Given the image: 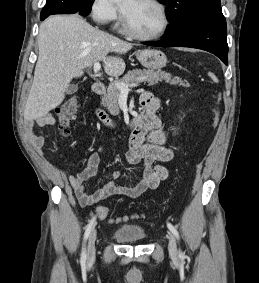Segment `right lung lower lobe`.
<instances>
[{"mask_svg":"<svg viewBox=\"0 0 259 283\" xmlns=\"http://www.w3.org/2000/svg\"><path fill=\"white\" fill-rule=\"evenodd\" d=\"M72 13H79L86 16L85 2L83 0H47V4L41 11L40 19L44 20L50 14Z\"/></svg>","mask_w":259,"mask_h":283,"instance_id":"right-lung-lower-lobe-1","label":"right lung lower lobe"}]
</instances>
